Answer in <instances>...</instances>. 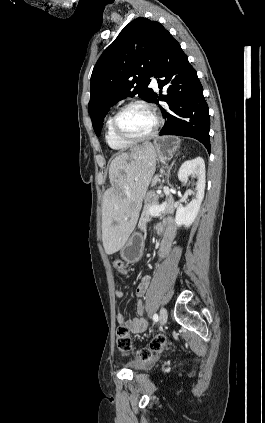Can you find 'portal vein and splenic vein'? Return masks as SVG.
<instances>
[{"mask_svg": "<svg viewBox=\"0 0 265 423\" xmlns=\"http://www.w3.org/2000/svg\"><path fill=\"white\" fill-rule=\"evenodd\" d=\"M163 190H164V193L166 195V199H165V201L162 204H160V205H153V206H151L149 208V212L152 215L161 213L166 208V206H167V203L169 201L170 189H169V187L165 186L163 188Z\"/></svg>", "mask_w": 265, "mask_h": 423, "instance_id": "18ae733b", "label": "portal vein and splenic vein"}]
</instances>
